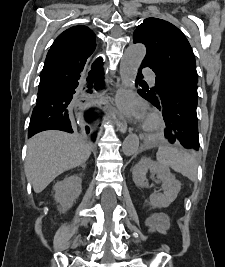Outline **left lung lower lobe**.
I'll list each match as a JSON object with an SVG mask.
<instances>
[{
	"instance_id": "0a47b994",
	"label": "left lung lower lobe",
	"mask_w": 225,
	"mask_h": 267,
	"mask_svg": "<svg viewBox=\"0 0 225 267\" xmlns=\"http://www.w3.org/2000/svg\"><path fill=\"white\" fill-rule=\"evenodd\" d=\"M144 67L141 64L138 79L143 77ZM138 93L162 112L166 124L164 134L170 143L181 144L192 151L199 149L197 82L189 78L176 79L167 84L157 98L148 88L139 89Z\"/></svg>"
}]
</instances>
